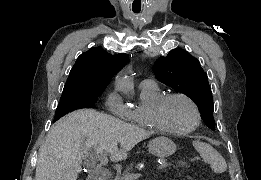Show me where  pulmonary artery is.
<instances>
[{"label": "pulmonary artery", "instance_id": "e3ab8cb5", "mask_svg": "<svg viewBox=\"0 0 261 180\" xmlns=\"http://www.w3.org/2000/svg\"><path fill=\"white\" fill-rule=\"evenodd\" d=\"M140 85L141 86H152V85H155V82L150 79H143V80H141Z\"/></svg>", "mask_w": 261, "mask_h": 180}]
</instances>
